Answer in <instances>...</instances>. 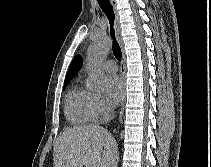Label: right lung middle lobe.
<instances>
[{"label":"right lung middle lobe","instance_id":"obj_1","mask_svg":"<svg viewBox=\"0 0 211 167\" xmlns=\"http://www.w3.org/2000/svg\"><path fill=\"white\" fill-rule=\"evenodd\" d=\"M69 82H70V81L64 82V89H65V87L68 85Z\"/></svg>","mask_w":211,"mask_h":167}]
</instances>
